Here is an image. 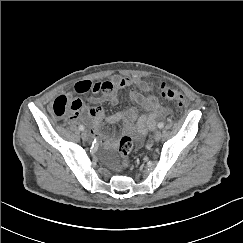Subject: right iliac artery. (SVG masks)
<instances>
[{
	"instance_id": "82829eb1",
	"label": "right iliac artery",
	"mask_w": 243,
	"mask_h": 243,
	"mask_svg": "<svg viewBox=\"0 0 243 243\" xmlns=\"http://www.w3.org/2000/svg\"><path fill=\"white\" fill-rule=\"evenodd\" d=\"M79 130H80V131H83V130H84V126H83V125H80V126H79Z\"/></svg>"
}]
</instances>
